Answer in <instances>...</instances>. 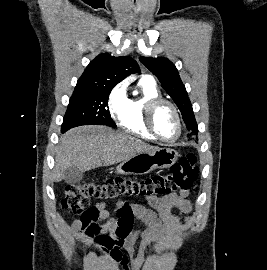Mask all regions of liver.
<instances>
[{
	"mask_svg": "<svg viewBox=\"0 0 267 270\" xmlns=\"http://www.w3.org/2000/svg\"><path fill=\"white\" fill-rule=\"evenodd\" d=\"M158 147L113 130L107 126L87 125L73 128L60 138L55 157L53 179L59 182L68 168L85 172L97 167L124 162Z\"/></svg>",
	"mask_w": 267,
	"mask_h": 270,
	"instance_id": "1",
	"label": "liver"
}]
</instances>
